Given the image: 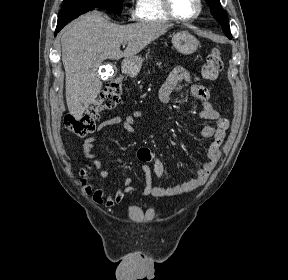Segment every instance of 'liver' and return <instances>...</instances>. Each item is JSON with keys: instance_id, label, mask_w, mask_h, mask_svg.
I'll return each instance as SVG.
<instances>
[{"instance_id": "6515ba94", "label": "liver", "mask_w": 288, "mask_h": 280, "mask_svg": "<svg viewBox=\"0 0 288 280\" xmlns=\"http://www.w3.org/2000/svg\"><path fill=\"white\" fill-rule=\"evenodd\" d=\"M169 27L168 24L152 22L117 25L98 11L79 17L61 38L66 102L74 118L80 119L100 93L102 82L97 70L105 59L134 57L165 34ZM123 42H128V45L122 52L120 45Z\"/></svg>"}]
</instances>
